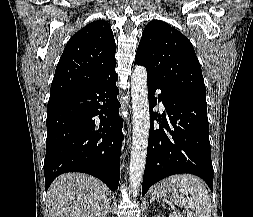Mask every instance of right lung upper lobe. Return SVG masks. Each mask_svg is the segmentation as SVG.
I'll return each mask as SVG.
<instances>
[{"label": "right lung upper lobe", "instance_id": "1", "mask_svg": "<svg viewBox=\"0 0 253 217\" xmlns=\"http://www.w3.org/2000/svg\"><path fill=\"white\" fill-rule=\"evenodd\" d=\"M115 40L111 26L94 21L68 41L56 67L50 98L84 90L115 72Z\"/></svg>", "mask_w": 253, "mask_h": 217}]
</instances>
